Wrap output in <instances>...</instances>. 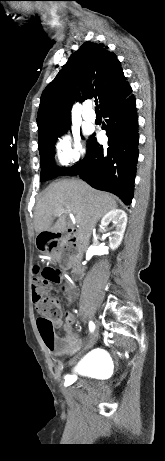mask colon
<instances>
[{"instance_id": "colon-1", "label": "colon", "mask_w": 165, "mask_h": 461, "mask_svg": "<svg viewBox=\"0 0 165 461\" xmlns=\"http://www.w3.org/2000/svg\"><path fill=\"white\" fill-rule=\"evenodd\" d=\"M43 240L44 248L51 249L54 246V242L49 241L46 237H43ZM59 283H62V273L58 268L45 266L34 270L31 289L32 298L39 313L37 325L42 340L49 350L54 349L57 343L53 321L61 315L60 302L56 297L50 296V290L53 285Z\"/></svg>"}]
</instances>
